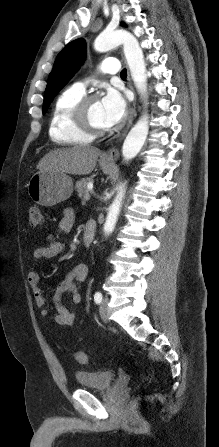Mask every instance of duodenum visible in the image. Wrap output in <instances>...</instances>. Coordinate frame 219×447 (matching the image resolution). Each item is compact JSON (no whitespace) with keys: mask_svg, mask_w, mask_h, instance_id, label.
Wrapping results in <instances>:
<instances>
[{"mask_svg":"<svg viewBox=\"0 0 219 447\" xmlns=\"http://www.w3.org/2000/svg\"><path fill=\"white\" fill-rule=\"evenodd\" d=\"M96 225L93 221H87L82 233V245L88 249L93 241Z\"/></svg>","mask_w":219,"mask_h":447,"instance_id":"410a0bca","label":"duodenum"}]
</instances>
